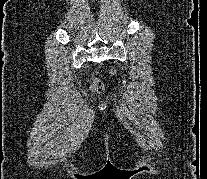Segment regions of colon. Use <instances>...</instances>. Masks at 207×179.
Listing matches in <instances>:
<instances>
[{
  "instance_id": "5ec220e1",
  "label": "colon",
  "mask_w": 207,
  "mask_h": 179,
  "mask_svg": "<svg viewBox=\"0 0 207 179\" xmlns=\"http://www.w3.org/2000/svg\"><path fill=\"white\" fill-rule=\"evenodd\" d=\"M116 72V70L114 69L113 71H112V73H115ZM104 84H103V82L100 80V79H95L94 81H93V83H92V85H91V90L93 91V92H101V91H103L104 90Z\"/></svg>"
}]
</instances>
